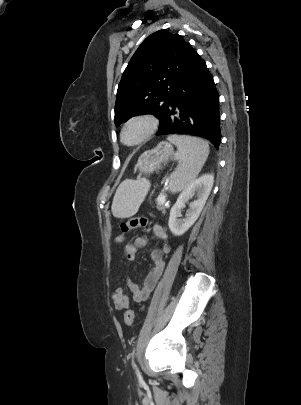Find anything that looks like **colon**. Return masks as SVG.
I'll return each instance as SVG.
<instances>
[{
    "instance_id": "obj_1",
    "label": "colon",
    "mask_w": 301,
    "mask_h": 405,
    "mask_svg": "<svg viewBox=\"0 0 301 405\" xmlns=\"http://www.w3.org/2000/svg\"><path fill=\"white\" fill-rule=\"evenodd\" d=\"M149 225V220L146 217H135L132 219H129L127 221H124L120 224V230H121V235L117 236L115 238V241L117 243H124L126 241V238L124 237V234L137 229V228H144ZM134 317L135 313L132 308H129L125 311L124 313V322L127 326H131L134 322Z\"/></svg>"
}]
</instances>
